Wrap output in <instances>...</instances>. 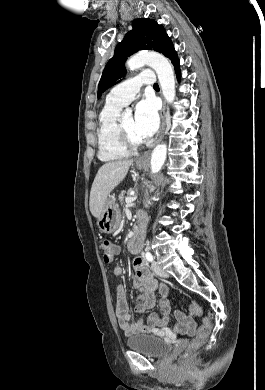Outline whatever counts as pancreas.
<instances>
[{
	"mask_svg": "<svg viewBox=\"0 0 265 390\" xmlns=\"http://www.w3.org/2000/svg\"><path fill=\"white\" fill-rule=\"evenodd\" d=\"M130 191H131V189H128L127 192L121 193V195H120V197H119V200H120V203H121V204H124V196H125L126 193L129 194Z\"/></svg>",
	"mask_w": 265,
	"mask_h": 390,
	"instance_id": "obj_1",
	"label": "pancreas"
}]
</instances>
